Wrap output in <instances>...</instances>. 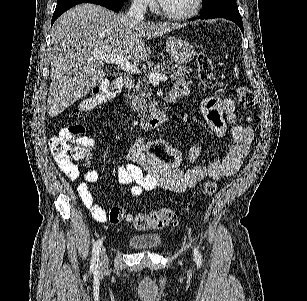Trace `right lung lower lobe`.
Returning <instances> with one entry per match:
<instances>
[{"label":"right lung lower lobe","mask_w":307,"mask_h":301,"mask_svg":"<svg viewBox=\"0 0 307 301\" xmlns=\"http://www.w3.org/2000/svg\"><path fill=\"white\" fill-rule=\"evenodd\" d=\"M126 1L124 0H66L64 2L57 3L55 12L52 17V24L66 10L80 3H94V4L104 6L110 10H113L114 12H119L124 2Z\"/></svg>","instance_id":"right-lung-lower-lobe-1"}]
</instances>
